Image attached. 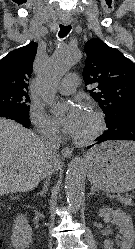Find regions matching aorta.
<instances>
[{"label":"aorta","instance_id":"obj_1","mask_svg":"<svg viewBox=\"0 0 135 249\" xmlns=\"http://www.w3.org/2000/svg\"><path fill=\"white\" fill-rule=\"evenodd\" d=\"M80 57L81 53L78 49L65 45L50 58L41 75L42 97L48 104H56L55 85L79 61ZM84 175L83 161L80 157H75L65 175L66 197L72 209H78L83 201Z\"/></svg>","mask_w":135,"mask_h":249}]
</instances>
